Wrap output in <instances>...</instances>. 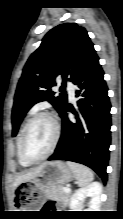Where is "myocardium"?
I'll return each instance as SVG.
<instances>
[{"mask_svg":"<svg viewBox=\"0 0 123 219\" xmlns=\"http://www.w3.org/2000/svg\"><path fill=\"white\" fill-rule=\"evenodd\" d=\"M39 117L47 118L52 123L53 129H54V135H53L52 143H51L49 149L47 150V152L42 157H40L38 159H31L25 153L24 142H25V138H26V134L28 132L29 126L31 125V123L35 119H37ZM60 133H61L60 125H59L57 119L51 113H49L47 111H39V112H36L33 115H31L28 118V120L26 121V123L22 129L21 136H20L19 147H20V155H21L22 159L29 164H37V163H40L43 160L47 159L55 150V148L58 144V141L60 139Z\"/></svg>","mask_w":123,"mask_h":219,"instance_id":"obj_1","label":"myocardium"}]
</instances>
